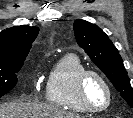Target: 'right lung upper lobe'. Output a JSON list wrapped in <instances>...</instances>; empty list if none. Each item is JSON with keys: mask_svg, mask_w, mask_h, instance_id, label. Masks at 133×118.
Returning a JSON list of instances; mask_svg holds the SVG:
<instances>
[{"mask_svg": "<svg viewBox=\"0 0 133 118\" xmlns=\"http://www.w3.org/2000/svg\"><path fill=\"white\" fill-rule=\"evenodd\" d=\"M39 29L15 26L0 32V64L24 62Z\"/></svg>", "mask_w": 133, "mask_h": 118, "instance_id": "obj_1", "label": "right lung upper lobe"}]
</instances>
